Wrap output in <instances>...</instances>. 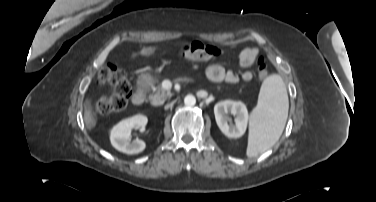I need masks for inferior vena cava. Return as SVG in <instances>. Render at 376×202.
Wrapping results in <instances>:
<instances>
[{
	"label": "inferior vena cava",
	"mask_w": 376,
	"mask_h": 202,
	"mask_svg": "<svg viewBox=\"0 0 376 202\" xmlns=\"http://www.w3.org/2000/svg\"><path fill=\"white\" fill-rule=\"evenodd\" d=\"M169 106H171V105H166V108H168Z\"/></svg>",
	"instance_id": "1"
}]
</instances>
